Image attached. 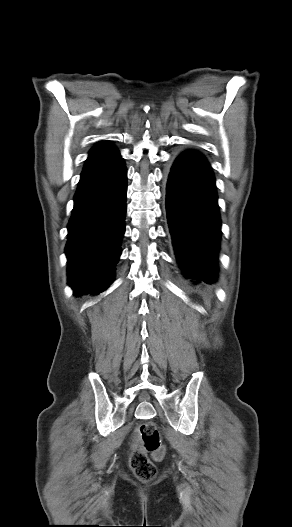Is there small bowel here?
<instances>
[{"label":"small bowel","instance_id":"1","mask_svg":"<svg viewBox=\"0 0 292 527\" xmlns=\"http://www.w3.org/2000/svg\"><path fill=\"white\" fill-rule=\"evenodd\" d=\"M154 453L156 455V457L154 458V461L156 463H159L161 461V458L159 456H161L164 453V449L160 448V449L156 450Z\"/></svg>","mask_w":292,"mask_h":527}]
</instances>
